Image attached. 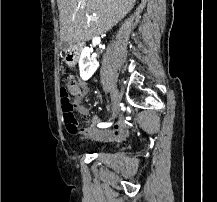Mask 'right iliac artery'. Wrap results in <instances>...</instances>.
<instances>
[{"label": "right iliac artery", "mask_w": 217, "mask_h": 202, "mask_svg": "<svg viewBox=\"0 0 217 202\" xmlns=\"http://www.w3.org/2000/svg\"><path fill=\"white\" fill-rule=\"evenodd\" d=\"M112 125V123H99L97 126L99 128H107L110 127Z\"/></svg>", "instance_id": "obj_1"}]
</instances>
